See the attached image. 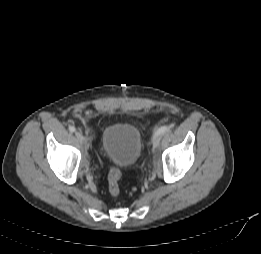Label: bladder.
Masks as SVG:
<instances>
[{
  "label": "bladder",
  "mask_w": 261,
  "mask_h": 254,
  "mask_svg": "<svg viewBox=\"0 0 261 254\" xmlns=\"http://www.w3.org/2000/svg\"><path fill=\"white\" fill-rule=\"evenodd\" d=\"M101 149L113 163L127 167L136 162L142 149L139 130L126 123L107 127L102 135Z\"/></svg>",
  "instance_id": "obj_1"
}]
</instances>
